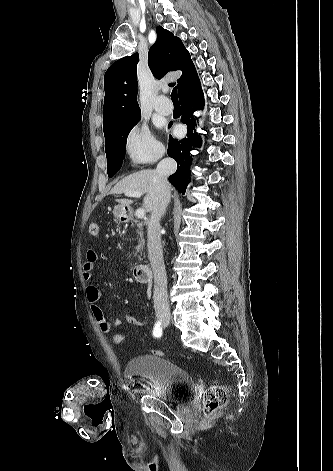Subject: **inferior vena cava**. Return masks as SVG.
<instances>
[{
	"instance_id": "602c4592",
	"label": "inferior vena cava",
	"mask_w": 333,
	"mask_h": 471,
	"mask_svg": "<svg viewBox=\"0 0 333 471\" xmlns=\"http://www.w3.org/2000/svg\"><path fill=\"white\" fill-rule=\"evenodd\" d=\"M177 163L172 158L162 159L156 168L159 194L148 223V258L154 274V309L157 314L169 313L167 276L161 245L160 220L170 202L168 177L175 172Z\"/></svg>"
}]
</instances>
